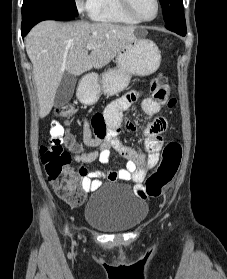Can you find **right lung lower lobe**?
I'll use <instances>...</instances> for the list:
<instances>
[{
    "mask_svg": "<svg viewBox=\"0 0 227 279\" xmlns=\"http://www.w3.org/2000/svg\"><path fill=\"white\" fill-rule=\"evenodd\" d=\"M75 19V16L61 11L59 8L46 3L35 5L25 15H22L21 35L25 37L31 28L43 20L66 21Z\"/></svg>",
    "mask_w": 227,
    "mask_h": 279,
    "instance_id": "1",
    "label": "right lung lower lobe"
}]
</instances>
